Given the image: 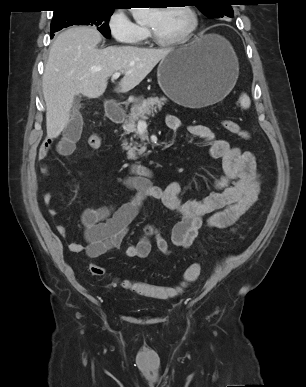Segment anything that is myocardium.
<instances>
[{
  "mask_svg": "<svg viewBox=\"0 0 306 387\" xmlns=\"http://www.w3.org/2000/svg\"><path fill=\"white\" fill-rule=\"evenodd\" d=\"M168 7H171V6H165L159 9H165ZM178 7L183 8L189 14L191 19V24L189 28L179 38L172 39V40H163L160 37H158V35L154 32V30L151 27L147 26V32H148L149 38L154 44L162 47H172V46L183 45L188 41H190L193 35L195 34V32L197 31L199 26V16L195 8L187 4H183L182 6H178Z\"/></svg>",
  "mask_w": 306,
  "mask_h": 387,
  "instance_id": "myocardium-1",
  "label": "myocardium"
}]
</instances>
